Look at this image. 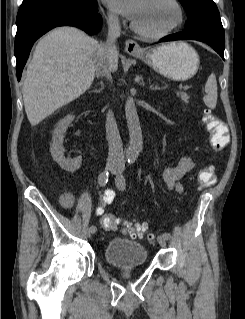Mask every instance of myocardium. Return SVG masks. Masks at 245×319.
Listing matches in <instances>:
<instances>
[{
  "label": "myocardium",
  "mask_w": 245,
  "mask_h": 319,
  "mask_svg": "<svg viewBox=\"0 0 245 319\" xmlns=\"http://www.w3.org/2000/svg\"><path fill=\"white\" fill-rule=\"evenodd\" d=\"M169 2L174 6L176 13H177V18L172 25H170L169 27L162 29V30L148 31V30L142 29L133 21L131 23L132 29L137 34L141 35L142 37L150 38V39L162 38V37H165V36L173 33L175 30H177L183 24L184 10H183V7H182L181 3L179 2V0H169Z\"/></svg>",
  "instance_id": "f54148a6"
}]
</instances>
